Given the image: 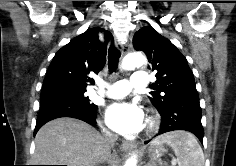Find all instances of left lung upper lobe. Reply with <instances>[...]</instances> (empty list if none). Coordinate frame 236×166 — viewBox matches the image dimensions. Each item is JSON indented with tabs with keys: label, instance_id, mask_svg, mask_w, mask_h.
I'll use <instances>...</instances> for the list:
<instances>
[{
	"label": "left lung upper lobe",
	"instance_id": "left-lung-upper-lobe-1",
	"mask_svg": "<svg viewBox=\"0 0 236 166\" xmlns=\"http://www.w3.org/2000/svg\"><path fill=\"white\" fill-rule=\"evenodd\" d=\"M133 45L147 55L148 68L157 72L149 99L159 112L199 97L186 58L168 39L152 27H143L135 33Z\"/></svg>",
	"mask_w": 236,
	"mask_h": 166
}]
</instances>
